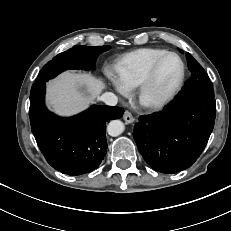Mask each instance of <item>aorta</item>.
<instances>
[{
  "label": "aorta",
  "mask_w": 231,
  "mask_h": 231,
  "mask_svg": "<svg viewBox=\"0 0 231 231\" xmlns=\"http://www.w3.org/2000/svg\"><path fill=\"white\" fill-rule=\"evenodd\" d=\"M124 124L120 120H112L107 126V132L110 136L116 137L123 133Z\"/></svg>",
  "instance_id": "1"
}]
</instances>
